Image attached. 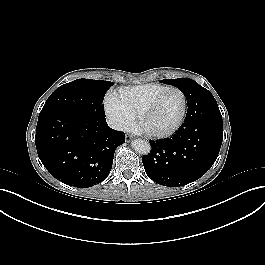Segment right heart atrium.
Masks as SVG:
<instances>
[{
	"label": "right heart atrium",
	"mask_w": 265,
	"mask_h": 265,
	"mask_svg": "<svg viewBox=\"0 0 265 265\" xmlns=\"http://www.w3.org/2000/svg\"><path fill=\"white\" fill-rule=\"evenodd\" d=\"M104 109L107 117L116 129L128 130L135 125V116L125 106L118 92L111 91L105 95Z\"/></svg>",
	"instance_id": "obj_1"
}]
</instances>
